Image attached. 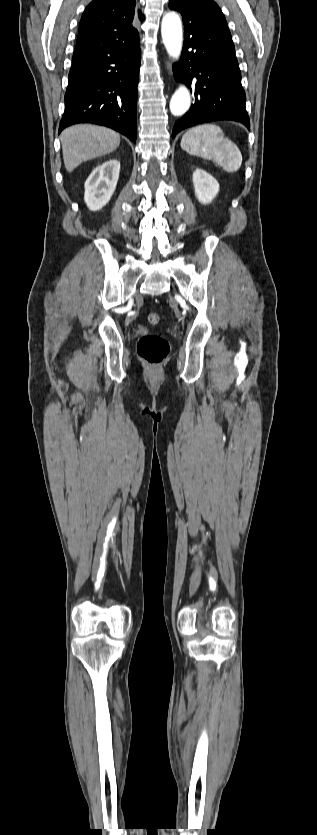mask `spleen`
<instances>
[{"instance_id":"3e777b00","label":"spleen","mask_w":317,"mask_h":835,"mask_svg":"<svg viewBox=\"0 0 317 835\" xmlns=\"http://www.w3.org/2000/svg\"><path fill=\"white\" fill-rule=\"evenodd\" d=\"M181 148L191 155L213 161L228 173L236 172L242 164L237 145L215 124H201L189 129L182 137Z\"/></svg>"}]
</instances>
